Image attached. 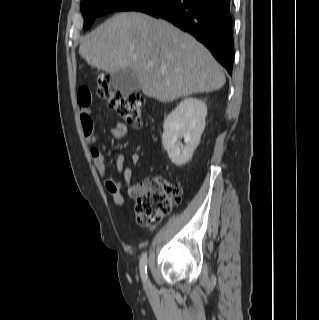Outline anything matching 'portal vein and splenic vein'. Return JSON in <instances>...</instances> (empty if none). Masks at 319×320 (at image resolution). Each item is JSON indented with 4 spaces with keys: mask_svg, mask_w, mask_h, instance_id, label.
I'll use <instances>...</instances> for the list:
<instances>
[{
    "mask_svg": "<svg viewBox=\"0 0 319 320\" xmlns=\"http://www.w3.org/2000/svg\"><path fill=\"white\" fill-rule=\"evenodd\" d=\"M148 65H149L150 67H152V66H153V63H152V62H149Z\"/></svg>",
    "mask_w": 319,
    "mask_h": 320,
    "instance_id": "18ae733b",
    "label": "portal vein and splenic vein"
}]
</instances>
